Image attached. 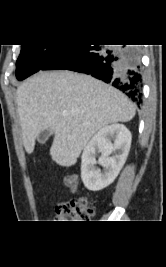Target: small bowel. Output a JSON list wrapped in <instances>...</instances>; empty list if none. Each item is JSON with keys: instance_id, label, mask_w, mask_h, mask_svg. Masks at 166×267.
<instances>
[{"instance_id": "c3829d8e", "label": "small bowel", "mask_w": 166, "mask_h": 267, "mask_svg": "<svg viewBox=\"0 0 166 267\" xmlns=\"http://www.w3.org/2000/svg\"><path fill=\"white\" fill-rule=\"evenodd\" d=\"M66 185L72 190V191H76L77 189V185H76V182L67 178L66 179Z\"/></svg>"}]
</instances>
